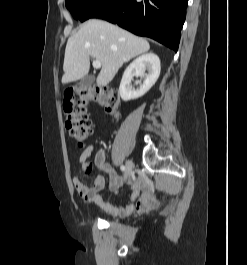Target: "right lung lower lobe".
<instances>
[{"label":"right lung lower lobe","instance_id":"98d812e1","mask_svg":"<svg viewBox=\"0 0 247 265\" xmlns=\"http://www.w3.org/2000/svg\"><path fill=\"white\" fill-rule=\"evenodd\" d=\"M188 0H100L80 19L101 18L150 37L175 52L186 17Z\"/></svg>","mask_w":247,"mask_h":265}]
</instances>
